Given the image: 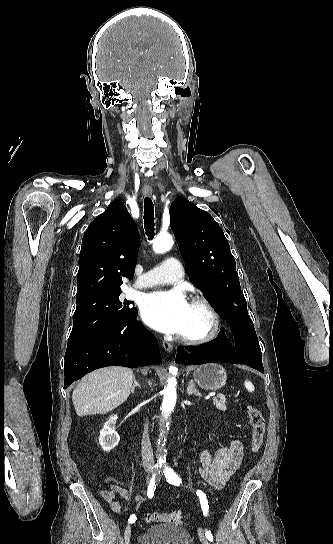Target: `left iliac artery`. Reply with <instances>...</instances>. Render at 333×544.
Segmentation results:
<instances>
[{
	"instance_id": "obj_1",
	"label": "left iliac artery",
	"mask_w": 333,
	"mask_h": 544,
	"mask_svg": "<svg viewBox=\"0 0 333 544\" xmlns=\"http://www.w3.org/2000/svg\"><path fill=\"white\" fill-rule=\"evenodd\" d=\"M163 473L168 483L175 486H179L181 484V478H179V476L176 474V472L172 468L166 466V464L164 465ZM196 493L201 503L203 515L207 516L209 511L207 497L201 490H197ZM205 536L209 541H213V535L211 531L206 530Z\"/></svg>"
}]
</instances>
